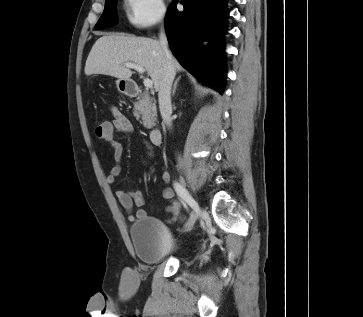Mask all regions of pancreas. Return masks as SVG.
Here are the masks:
<instances>
[{
	"label": "pancreas",
	"mask_w": 363,
	"mask_h": 317,
	"mask_svg": "<svg viewBox=\"0 0 363 317\" xmlns=\"http://www.w3.org/2000/svg\"><path fill=\"white\" fill-rule=\"evenodd\" d=\"M134 116L137 119L141 116L144 127L148 129H151L156 125V106L152 103L147 93H144L142 97L134 103Z\"/></svg>",
	"instance_id": "1"
}]
</instances>
